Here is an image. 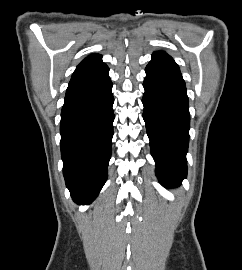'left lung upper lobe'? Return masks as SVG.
<instances>
[{
    "mask_svg": "<svg viewBox=\"0 0 242 270\" xmlns=\"http://www.w3.org/2000/svg\"><path fill=\"white\" fill-rule=\"evenodd\" d=\"M152 56H168L165 52H154Z\"/></svg>",
    "mask_w": 242,
    "mask_h": 270,
    "instance_id": "left-lung-upper-lobe-1",
    "label": "left lung upper lobe"
}]
</instances>
